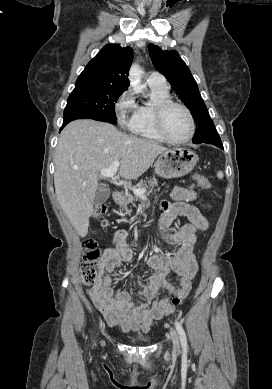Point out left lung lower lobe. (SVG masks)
<instances>
[{
  "label": "left lung lower lobe",
  "mask_w": 272,
  "mask_h": 389,
  "mask_svg": "<svg viewBox=\"0 0 272 389\" xmlns=\"http://www.w3.org/2000/svg\"><path fill=\"white\" fill-rule=\"evenodd\" d=\"M200 143H209V144H213L221 149H224L222 142H221V139H220L217 132L211 134L209 137H207L206 139H204Z\"/></svg>",
  "instance_id": "0a47b994"
}]
</instances>
